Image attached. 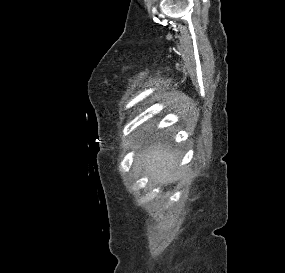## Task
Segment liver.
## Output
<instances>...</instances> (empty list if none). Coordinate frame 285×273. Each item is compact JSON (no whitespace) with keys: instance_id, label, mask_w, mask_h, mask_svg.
Returning a JSON list of instances; mask_svg holds the SVG:
<instances>
[{"instance_id":"6515ba94","label":"liver","mask_w":285,"mask_h":273,"mask_svg":"<svg viewBox=\"0 0 285 273\" xmlns=\"http://www.w3.org/2000/svg\"><path fill=\"white\" fill-rule=\"evenodd\" d=\"M139 165H143L145 173L150 179L161 184L172 183L179 175L178 159L176 154L160 146H152L150 149L139 154Z\"/></svg>"}]
</instances>
